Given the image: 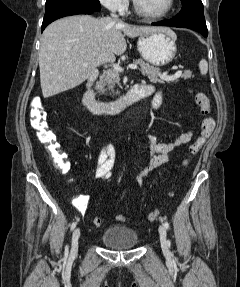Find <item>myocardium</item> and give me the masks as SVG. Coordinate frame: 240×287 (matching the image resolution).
<instances>
[{
    "instance_id": "myocardium-1",
    "label": "myocardium",
    "mask_w": 240,
    "mask_h": 287,
    "mask_svg": "<svg viewBox=\"0 0 240 287\" xmlns=\"http://www.w3.org/2000/svg\"><path fill=\"white\" fill-rule=\"evenodd\" d=\"M174 7V0H167L166 6L164 9L158 12H151L148 10L143 9L142 7L139 6L136 0H133V8L138 13L139 15L150 18V19H161L163 17H166L167 15L170 14Z\"/></svg>"
}]
</instances>
